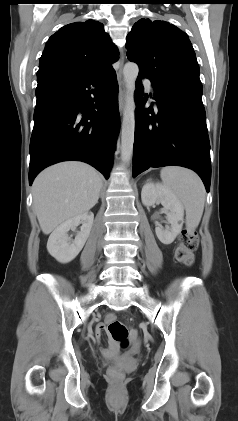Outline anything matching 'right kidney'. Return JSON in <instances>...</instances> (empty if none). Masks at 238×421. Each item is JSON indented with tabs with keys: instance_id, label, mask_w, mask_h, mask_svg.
Instances as JSON below:
<instances>
[{
	"instance_id": "ca27d5eb",
	"label": "right kidney",
	"mask_w": 238,
	"mask_h": 421,
	"mask_svg": "<svg viewBox=\"0 0 238 421\" xmlns=\"http://www.w3.org/2000/svg\"><path fill=\"white\" fill-rule=\"evenodd\" d=\"M94 220L92 212H85L60 224L50 235L47 250L60 263L71 262L82 250L89 237ZM82 224L73 241H69L68 231Z\"/></svg>"
}]
</instances>
